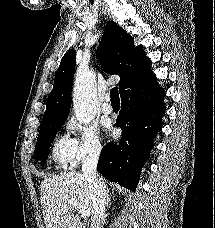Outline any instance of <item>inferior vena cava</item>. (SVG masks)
Wrapping results in <instances>:
<instances>
[{"label": "inferior vena cava", "mask_w": 215, "mask_h": 228, "mask_svg": "<svg viewBox=\"0 0 215 228\" xmlns=\"http://www.w3.org/2000/svg\"><path fill=\"white\" fill-rule=\"evenodd\" d=\"M100 146H95L90 150L88 156L82 162V176L87 180L89 188L92 190V216L91 228H100V220L105 216L106 200L108 192L105 182H102L97 174V164L100 156Z\"/></svg>", "instance_id": "1"}]
</instances>
